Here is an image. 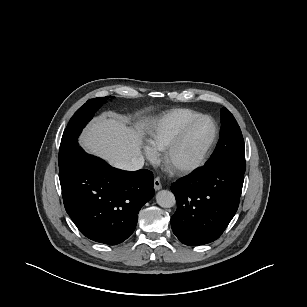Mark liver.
<instances>
[{
  "mask_svg": "<svg viewBox=\"0 0 307 307\" xmlns=\"http://www.w3.org/2000/svg\"><path fill=\"white\" fill-rule=\"evenodd\" d=\"M145 123L128 127L122 118L105 115L96 118L81 136V145L115 166L117 163L142 156Z\"/></svg>",
  "mask_w": 307,
  "mask_h": 307,
  "instance_id": "liver-1",
  "label": "liver"
}]
</instances>
